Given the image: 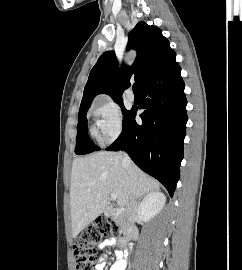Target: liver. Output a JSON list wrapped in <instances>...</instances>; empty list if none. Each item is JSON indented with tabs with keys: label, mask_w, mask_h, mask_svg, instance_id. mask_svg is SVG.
Here are the masks:
<instances>
[{
	"label": "liver",
	"mask_w": 242,
	"mask_h": 270,
	"mask_svg": "<svg viewBox=\"0 0 242 270\" xmlns=\"http://www.w3.org/2000/svg\"><path fill=\"white\" fill-rule=\"evenodd\" d=\"M122 160L120 153L106 151L74 160L70 185L74 238L105 211L110 203V194L118 195L119 207H127L132 198L137 199L159 189V182L133 163L128 173Z\"/></svg>",
	"instance_id": "obj_1"
}]
</instances>
